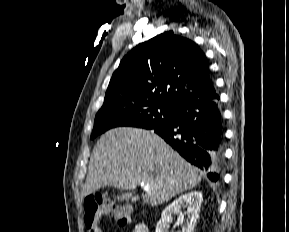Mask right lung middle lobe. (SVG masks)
Here are the masks:
<instances>
[{"instance_id": "obj_1", "label": "right lung middle lobe", "mask_w": 289, "mask_h": 232, "mask_svg": "<svg viewBox=\"0 0 289 232\" xmlns=\"http://www.w3.org/2000/svg\"><path fill=\"white\" fill-rule=\"evenodd\" d=\"M175 112L176 108L141 97L107 98L96 114L91 139L119 126L155 128L171 122Z\"/></svg>"}]
</instances>
